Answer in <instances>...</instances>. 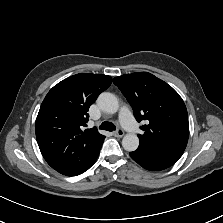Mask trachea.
<instances>
[{"mask_svg": "<svg viewBox=\"0 0 223 223\" xmlns=\"http://www.w3.org/2000/svg\"><path fill=\"white\" fill-rule=\"evenodd\" d=\"M99 129L106 130V131H115L116 126L112 124L111 122L105 121L100 125Z\"/></svg>", "mask_w": 223, "mask_h": 223, "instance_id": "obj_1", "label": "trachea"}]
</instances>
